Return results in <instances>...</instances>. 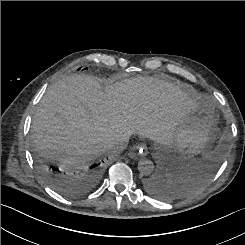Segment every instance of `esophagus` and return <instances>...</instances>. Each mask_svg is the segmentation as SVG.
Here are the masks:
<instances>
[{"label":"esophagus","mask_w":245,"mask_h":245,"mask_svg":"<svg viewBox=\"0 0 245 245\" xmlns=\"http://www.w3.org/2000/svg\"><path fill=\"white\" fill-rule=\"evenodd\" d=\"M148 154V149L146 145L140 144L132 148V151L129 153L131 158L136 157L137 155L145 156Z\"/></svg>","instance_id":"34e87169"}]
</instances>
